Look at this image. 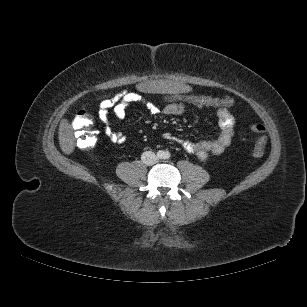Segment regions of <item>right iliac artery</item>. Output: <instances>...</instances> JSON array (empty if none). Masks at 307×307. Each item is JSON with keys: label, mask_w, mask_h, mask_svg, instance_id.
Returning a JSON list of instances; mask_svg holds the SVG:
<instances>
[{"label": "right iliac artery", "mask_w": 307, "mask_h": 307, "mask_svg": "<svg viewBox=\"0 0 307 307\" xmlns=\"http://www.w3.org/2000/svg\"><path fill=\"white\" fill-rule=\"evenodd\" d=\"M157 157H158V158H162V157H163V152H162V151H159V152L157 153Z\"/></svg>", "instance_id": "obj_1"}]
</instances>
